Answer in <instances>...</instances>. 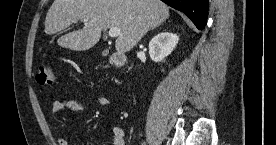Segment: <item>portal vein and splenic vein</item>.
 Returning <instances> with one entry per match:
<instances>
[{"mask_svg": "<svg viewBox=\"0 0 276 145\" xmlns=\"http://www.w3.org/2000/svg\"><path fill=\"white\" fill-rule=\"evenodd\" d=\"M84 22H87L88 19L87 18H84L83 19ZM109 36L112 37V38H115V37H118L120 35V29L119 28H116V27H113V28H110L109 30Z\"/></svg>", "mask_w": 276, "mask_h": 145, "instance_id": "18ae733b", "label": "portal vein and splenic vein"}]
</instances>
